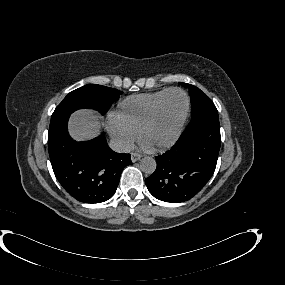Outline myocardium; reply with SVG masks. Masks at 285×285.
I'll return each mask as SVG.
<instances>
[{
	"mask_svg": "<svg viewBox=\"0 0 285 285\" xmlns=\"http://www.w3.org/2000/svg\"><path fill=\"white\" fill-rule=\"evenodd\" d=\"M175 91H178V92H181L184 96H185V99H186V109H185V112L180 120V123L178 125V128H177V131L176 133L174 134V136L167 142H164L162 144H159V145H156V146H153L151 147L150 149L151 150H161V149H165V148H168L170 146H172L177 140L178 138L180 137L181 133H182V130L184 128V125L187 121V118L189 116V112H190V97L189 95L187 94V92L181 88H178V87H173V88H169L162 96L161 98L157 101V103L154 105L150 115L148 116V118L145 120V122L142 124V126L140 127L139 129V132H138V137L139 139H141L142 141V137H143V134L144 132L154 123V121L157 119L159 113H160V110H161V107L166 99V97L172 93V92H175Z\"/></svg>",
	"mask_w": 285,
	"mask_h": 285,
	"instance_id": "obj_1",
	"label": "myocardium"
}]
</instances>
